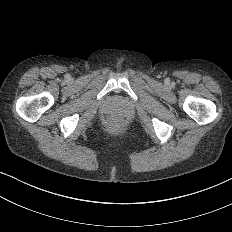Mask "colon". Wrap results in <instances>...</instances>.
<instances>
[{
	"instance_id": "obj_1",
	"label": "colon",
	"mask_w": 232,
	"mask_h": 232,
	"mask_svg": "<svg viewBox=\"0 0 232 232\" xmlns=\"http://www.w3.org/2000/svg\"><path fill=\"white\" fill-rule=\"evenodd\" d=\"M109 130L113 134H120L124 130V123L120 119H113L109 123Z\"/></svg>"
}]
</instances>
